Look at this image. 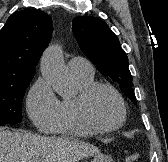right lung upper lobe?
<instances>
[{"label": "right lung upper lobe", "mask_w": 168, "mask_h": 162, "mask_svg": "<svg viewBox=\"0 0 168 162\" xmlns=\"http://www.w3.org/2000/svg\"><path fill=\"white\" fill-rule=\"evenodd\" d=\"M51 17L38 10L12 14L0 30V83L33 77L51 39Z\"/></svg>", "instance_id": "cb5924a9"}]
</instances>
